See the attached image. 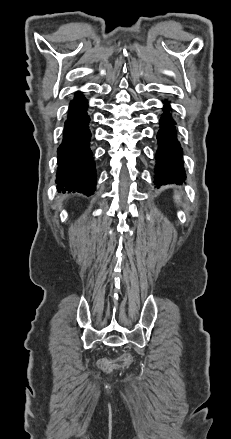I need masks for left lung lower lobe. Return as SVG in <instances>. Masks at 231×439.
Here are the masks:
<instances>
[{
  "mask_svg": "<svg viewBox=\"0 0 231 439\" xmlns=\"http://www.w3.org/2000/svg\"><path fill=\"white\" fill-rule=\"evenodd\" d=\"M170 106L165 102L164 113L160 118V130L157 134L158 151L156 154V177L157 187L167 183H182L185 171L182 161V148L176 138L175 122L169 113Z\"/></svg>",
  "mask_w": 231,
  "mask_h": 439,
  "instance_id": "1",
  "label": "left lung lower lobe"
}]
</instances>
